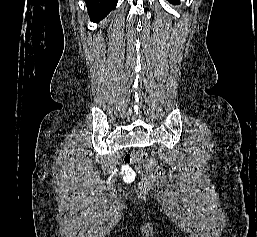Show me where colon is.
I'll use <instances>...</instances> for the list:
<instances>
[{"instance_id":"colon-1","label":"colon","mask_w":257,"mask_h":237,"mask_svg":"<svg viewBox=\"0 0 257 237\" xmlns=\"http://www.w3.org/2000/svg\"><path fill=\"white\" fill-rule=\"evenodd\" d=\"M146 158V154L142 150H133L131 153L126 155L125 160L126 162H141ZM140 173L142 176V180L140 182V188L142 190H145L150 187L153 181L160 180L164 178V170L157 166L155 163L150 162L146 165H144L140 169Z\"/></svg>"}]
</instances>
